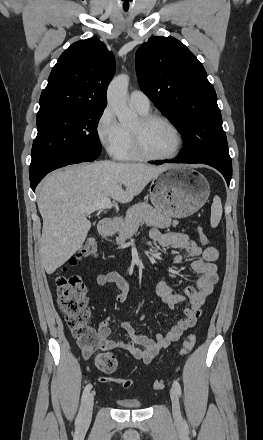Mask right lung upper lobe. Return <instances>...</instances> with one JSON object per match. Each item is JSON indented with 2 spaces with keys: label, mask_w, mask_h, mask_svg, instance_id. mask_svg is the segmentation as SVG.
Returning <instances> with one entry per match:
<instances>
[{
  "label": "right lung upper lobe",
  "mask_w": 263,
  "mask_h": 440,
  "mask_svg": "<svg viewBox=\"0 0 263 440\" xmlns=\"http://www.w3.org/2000/svg\"><path fill=\"white\" fill-rule=\"evenodd\" d=\"M114 72V57L97 37L73 43L53 67L39 111L105 108Z\"/></svg>",
  "instance_id": "obj_1"
}]
</instances>
